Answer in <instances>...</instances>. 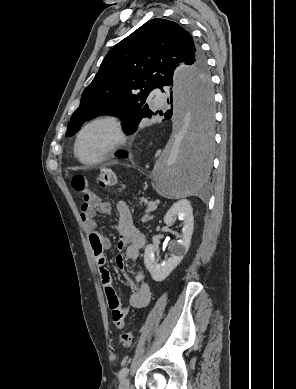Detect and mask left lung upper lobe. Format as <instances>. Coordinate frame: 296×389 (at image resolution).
Wrapping results in <instances>:
<instances>
[{
    "mask_svg": "<svg viewBox=\"0 0 296 389\" xmlns=\"http://www.w3.org/2000/svg\"><path fill=\"white\" fill-rule=\"evenodd\" d=\"M191 66V79L200 89L209 86L205 58L191 35L179 24L152 19L119 42L105 56L99 71L84 90L80 106L68 123L66 136L74 135L89 118L103 114L124 120L126 133H134L144 117L153 112L146 100L149 93L168 81L178 63ZM212 97V94H211ZM199 106L202 125L205 119ZM207 135H210L207 131Z\"/></svg>",
    "mask_w": 296,
    "mask_h": 389,
    "instance_id": "left-lung-upper-lobe-1",
    "label": "left lung upper lobe"
}]
</instances>
